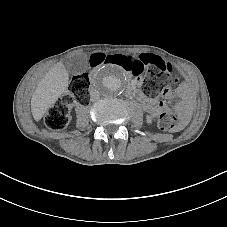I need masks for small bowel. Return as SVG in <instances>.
<instances>
[{"mask_svg":"<svg viewBox=\"0 0 227 227\" xmlns=\"http://www.w3.org/2000/svg\"><path fill=\"white\" fill-rule=\"evenodd\" d=\"M111 65H113V64H111ZM141 99L144 103V108H145L146 112L152 117H156L166 110V105L161 101H157V100L150 98V97H148L144 94L141 95ZM176 109L179 112H181V114L183 116H186V114H187V103L179 104L176 107Z\"/></svg>","mask_w":227,"mask_h":227,"instance_id":"small-bowel-1","label":"small bowel"}]
</instances>
